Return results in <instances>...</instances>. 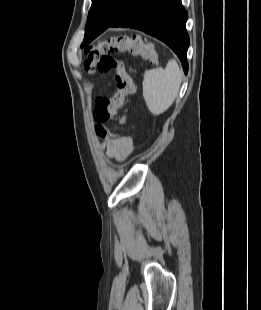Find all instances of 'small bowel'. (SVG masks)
I'll list each match as a JSON object with an SVG mask.
<instances>
[{"label":"small bowel","instance_id":"small-bowel-1","mask_svg":"<svg viewBox=\"0 0 261 310\" xmlns=\"http://www.w3.org/2000/svg\"><path fill=\"white\" fill-rule=\"evenodd\" d=\"M105 149L107 154L117 160L125 159L133 148L132 139L129 137H106Z\"/></svg>","mask_w":261,"mask_h":310}]
</instances>
